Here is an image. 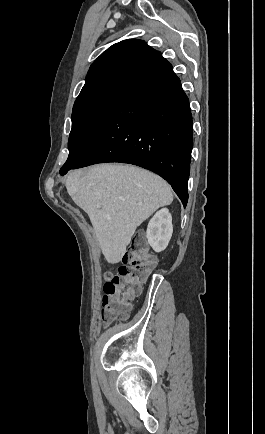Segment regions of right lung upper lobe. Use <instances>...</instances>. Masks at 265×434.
Returning a JSON list of instances; mask_svg holds the SVG:
<instances>
[{
    "mask_svg": "<svg viewBox=\"0 0 265 434\" xmlns=\"http://www.w3.org/2000/svg\"><path fill=\"white\" fill-rule=\"evenodd\" d=\"M161 53L144 41L128 39L104 51L91 65L86 84L117 74L135 75L154 63Z\"/></svg>",
    "mask_w": 265,
    "mask_h": 434,
    "instance_id": "1",
    "label": "right lung upper lobe"
}]
</instances>
